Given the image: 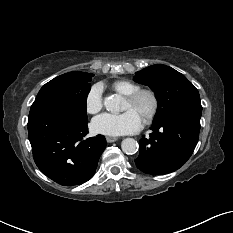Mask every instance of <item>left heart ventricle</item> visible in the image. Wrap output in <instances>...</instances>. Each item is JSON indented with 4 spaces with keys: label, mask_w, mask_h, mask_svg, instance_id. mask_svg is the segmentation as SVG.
<instances>
[{
    "label": "left heart ventricle",
    "mask_w": 233,
    "mask_h": 233,
    "mask_svg": "<svg viewBox=\"0 0 233 233\" xmlns=\"http://www.w3.org/2000/svg\"><path fill=\"white\" fill-rule=\"evenodd\" d=\"M151 108V99L149 96H142L136 103H130L129 101H125L123 110H133L135 111L143 120L145 115Z\"/></svg>",
    "instance_id": "b2bd125f"
}]
</instances>
